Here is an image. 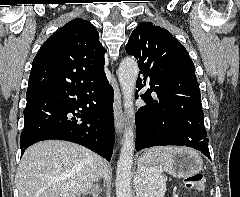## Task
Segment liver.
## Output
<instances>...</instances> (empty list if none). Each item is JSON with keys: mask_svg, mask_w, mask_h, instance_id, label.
Returning a JSON list of instances; mask_svg holds the SVG:
<instances>
[{"mask_svg": "<svg viewBox=\"0 0 240 197\" xmlns=\"http://www.w3.org/2000/svg\"><path fill=\"white\" fill-rule=\"evenodd\" d=\"M101 157L68 141L47 140L29 147L19 164V197H77L93 185ZM110 169L105 165L104 174Z\"/></svg>", "mask_w": 240, "mask_h": 197, "instance_id": "obj_1", "label": "liver"}]
</instances>
